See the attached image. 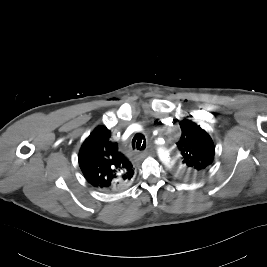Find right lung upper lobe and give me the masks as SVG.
I'll return each mask as SVG.
<instances>
[{
    "instance_id": "right-lung-upper-lobe-1",
    "label": "right lung upper lobe",
    "mask_w": 267,
    "mask_h": 267,
    "mask_svg": "<svg viewBox=\"0 0 267 267\" xmlns=\"http://www.w3.org/2000/svg\"><path fill=\"white\" fill-rule=\"evenodd\" d=\"M78 159L86 180L99 190L122 191L133 180L131 162L110 140V131L105 126L97 127L84 141Z\"/></svg>"
}]
</instances>
